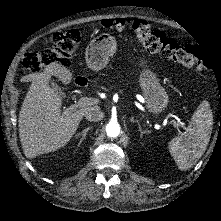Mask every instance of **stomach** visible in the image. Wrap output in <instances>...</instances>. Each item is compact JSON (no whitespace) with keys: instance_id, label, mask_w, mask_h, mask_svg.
<instances>
[{"instance_id":"0dacf381","label":"stomach","mask_w":221,"mask_h":221,"mask_svg":"<svg viewBox=\"0 0 221 221\" xmlns=\"http://www.w3.org/2000/svg\"><path fill=\"white\" fill-rule=\"evenodd\" d=\"M115 47L114 38L110 35L102 34L94 38L85 50V61L89 70L99 71L105 68ZM140 81L148 108L152 111L163 110L167 105V95L159 86L155 76L146 72Z\"/></svg>"}]
</instances>
